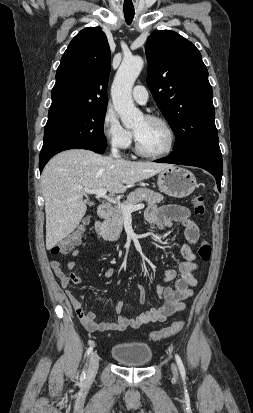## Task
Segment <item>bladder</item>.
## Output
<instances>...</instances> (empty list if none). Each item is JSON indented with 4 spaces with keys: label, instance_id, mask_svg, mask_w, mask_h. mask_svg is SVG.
Wrapping results in <instances>:
<instances>
[{
    "label": "bladder",
    "instance_id": "31cf9c89",
    "mask_svg": "<svg viewBox=\"0 0 253 413\" xmlns=\"http://www.w3.org/2000/svg\"><path fill=\"white\" fill-rule=\"evenodd\" d=\"M111 356L123 366L144 367L151 362L153 351L143 343H123L112 348Z\"/></svg>",
    "mask_w": 253,
    "mask_h": 413
}]
</instances>
